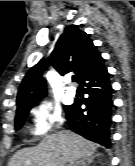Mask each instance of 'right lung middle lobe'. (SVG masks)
Segmentation results:
<instances>
[{"instance_id":"1","label":"right lung middle lobe","mask_w":135,"mask_h":166,"mask_svg":"<svg viewBox=\"0 0 135 166\" xmlns=\"http://www.w3.org/2000/svg\"><path fill=\"white\" fill-rule=\"evenodd\" d=\"M35 104H32V105H27V106H24L20 109H17L16 111V116H15V128L16 129H19L21 128L23 122L25 121V118L27 117L30 109L32 107H34ZM68 106L65 107V109H67Z\"/></svg>"}]
</instances>
